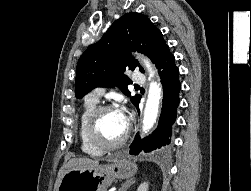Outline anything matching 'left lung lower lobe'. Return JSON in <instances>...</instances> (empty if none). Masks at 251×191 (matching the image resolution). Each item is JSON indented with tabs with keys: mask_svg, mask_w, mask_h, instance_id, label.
Masks as SVG:
<instances>
[{
	"mask_svg": "<svg viewBox=\"0 0 251 191\" xmlns=\"http://www.w3.org/2000/svg\"><path fill=\"white\" fill-rule=\"evenodd\" d=\"M156 67L161 78L164 94L158 129L145 139H141L139 134L135 136L129 152L133 155H138L140 152H151L161 148V146L170 144L168 137L171 136L172 125L176 120L181 84L178 79L179 70L175 65L174 55L169 49L161 55ZM139 101L140 99L135 103L138 112H140L138 108Z\"/></svg>",
	"mask_w": 251,
	"mask_h": 191,
	"instance_id": "left-lung-lower-lobe-1",
	"label": "left lung lower lobe"
}]
</instances>
